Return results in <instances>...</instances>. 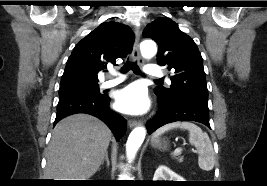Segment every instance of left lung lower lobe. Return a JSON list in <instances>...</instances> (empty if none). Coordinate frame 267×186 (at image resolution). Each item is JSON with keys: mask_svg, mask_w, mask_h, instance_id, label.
I'll return each mask as SVG.
<instances>
[{"mask_svg": "<svg viewBox=\"0 0 267 186\" xmlns=\"http://www.w3.org/2000/svg\"><path fill=\"white\" fill-rule=\"evenodd\" d=\"M160 111L146 126L151 134L165 124L176 121H195L210 128L208 103L193 99L173 101L158 99Z\"/></svg>", "mask_w": 267, "mask_h": 186, "instance_id": "obj_1", "label": "left lung lower lobe"}]
</instances>
